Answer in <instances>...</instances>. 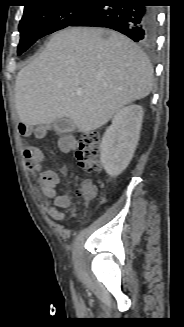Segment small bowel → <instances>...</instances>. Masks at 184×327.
Returning <instances> with one entry per match:
<instances>
[{"label": "small bowel", "mask_w": 184, "mask_h": 327, "mask_svg": "<svg viewBox=\"0 0 184 327\" xmlns=\"http://www.w3.org/2000/svg\"><path fill=\"white\" fill-rule=\"evenodd\" d=\"M49 127L43 126L35 131L38 137H44L48 132ZM19 132L22 135H28L32 132L31 126L27 124L19 125ZM76 146V141L73 137L65 136L58 142V149L64 154L71 153ZM26 167L32 174H36L42 168L44 156L38 147L27 146L23 151ZM40 187L42 194L46 198L47 212L54 220H62L64 218L63 209L70 207V198L68 195H57V186L59 184L58 175L51 170L43 171L40 174Z\"/></svg>", "instance_id": "1"}]
</instances>
